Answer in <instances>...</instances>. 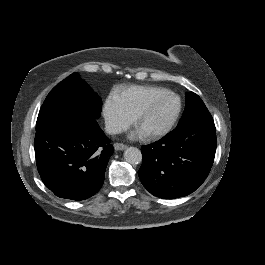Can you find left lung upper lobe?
I'll return each mask as SVG.
<instances>
[{
	"label": "left lung upper lobe",
	"mask_w": 265,
	"mask_h": 265,
	"mask_svg": "<svg viewBox=\"0 0 265 265\" xmlns=\"http://www.w3.org/2000/svg\"><path fill=\"white\" fill-rule=\"evenodd\" d=\"M185 103H186L185 111L179 123L209 112L205 104L203 103L202 99L193 92L186 93Z\"/></svg>",
	"instance_id": "1"
}]
</instances>
